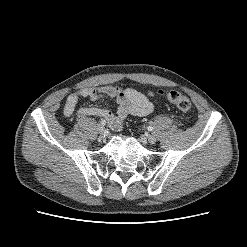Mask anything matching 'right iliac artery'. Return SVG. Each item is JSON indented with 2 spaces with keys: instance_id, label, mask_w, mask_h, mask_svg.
<instances>
[{
  "instance_id": "1",
  "label": "right iliac artery",
  "mask_w": 247,
  "mask_h": 247,
  "mask_svg": "<svg viewBox=\"0 0 247 247\" xmlns=\"http://www.w3.org/2000/svg\"><path fill=\"white\" fill-rule=\"evenodd\" d=\"M100 122H101L102 125H105L106 124L105 120H103V119H101Z\"/></svg>"
}]
</instances>
